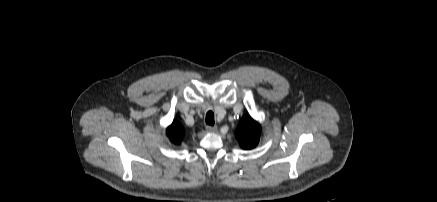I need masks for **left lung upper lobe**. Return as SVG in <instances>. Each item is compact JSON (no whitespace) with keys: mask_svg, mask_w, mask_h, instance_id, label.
<instances>
[{"mask_svg":"<svg viewBox=\"0 0 437 202\" xmlns=\"http://www.w3.org/2000/svg\"><path fill=\"white\" fill-rule=\"evenodd\" d=\"M236 137L243 149H253L260 139V124L250 116H245L238 125Z\"/></svg>","mask_w":437,"mask_h":202,"instance_id":"obj_1","label":"left lung upper lobe"}]
</instances>
